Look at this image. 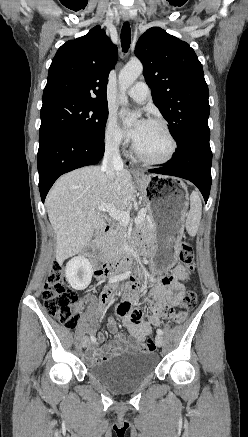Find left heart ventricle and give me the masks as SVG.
<instances>
[{
  "mask_svg": "<svg viewBox=\"0 0 248 437\" xmlns=\"http://www.w3.org/2000/svg\"><path fill=\"white\" fill-rule=\"evenodd\" d=\"M137 149L147 158L162 159L170 150V141L163 129L149 122L137 142Z\"/></svg>",
  "mask_w": 248,
  "mask_h": 437,
  "instance_id": "obj_1",
  "label": "left heart ventricle"
}]
</instances>
